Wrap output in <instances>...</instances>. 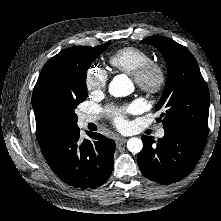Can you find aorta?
Wrapping results in <instances>:
<instances>
[{"mask_svg": "<svg viewBox=\"0 0 221 221\" xmlns=\"http://www.w3.org/2000/svg\"><path fill=\"white\" fill-rule=\"evenodd\" d=\"M134 90V85L126 75H117L109 84V93L114 97H122L131 94ZM143 148V143L140 138L132 137L127 141V149L131 153H139Z\"/></svg>", "mask_w": 221, "mask_h": 221, "instance_id": "1", "label": "aorta"}]
</instances>
